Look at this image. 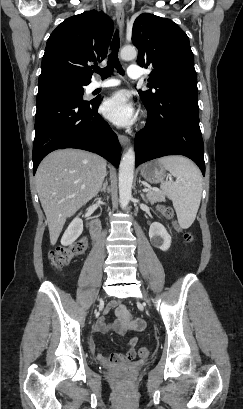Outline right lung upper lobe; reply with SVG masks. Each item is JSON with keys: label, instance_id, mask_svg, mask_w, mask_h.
Returning <instances> with one entry per match:
<instances>
[{"label": "right lung upper lobe", "instance_id": "obj_1", "mask_svg": "<svg viewBox=\"0 0 243 409\" xmlns=\"http://www.w3.org/2000/svg\"><path fill=\"white\" fill-rule=\"evenodd\" d=\"M113 21L103 12L86 11L67 18L50 35L39 79L63 76L82 84L91 82L90 65L107 55Z\"/></svg>", "mask_w": 243, "mask_h": 409}]
</instances>
